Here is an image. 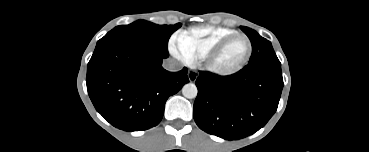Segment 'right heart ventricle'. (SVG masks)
<instances>
[{
    "label": "right heart ventricle",
    "instance_id": "e07e8e85",
    "mask_svg": "<svg viewBox=\"0 0 369 152\" xmlns=\"http://www.w3.org/2000/svg\"><path fill=\"white\" fill-rule=\"evenodd\" d=\"M238 33L237 31L221 26L202 25L182 31L177 41L189 58V63L202 60L207 52L225 37Z\"/></svg>",
    "mask_w": 369,
    "mask_h": 152
}]
</instances>
